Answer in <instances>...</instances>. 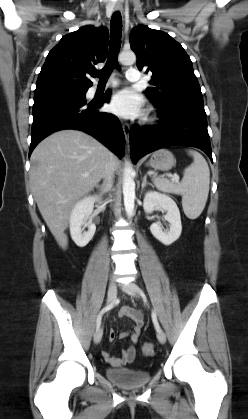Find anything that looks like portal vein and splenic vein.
Returning <instances> with one entry per match:
<instances>
[{
  "label": "portal vein and splenic vein",
  "mask_w": 248,
  "mask_h": 419,
  "mask_svg": "<svg viewBox=\"0 0 248 419\" xmlns=\"http://www.w3.org/2000/svg\"><path fill=\"white\" fill-rule=\"evenodd\" d=\"M172 180L175 181V182H178L179 181V176L178 175H173Z\"/></svg>",
  "instance_id": "portal-vein-and-splenic-vein-1"
}]
</instances>
